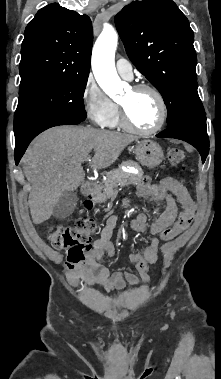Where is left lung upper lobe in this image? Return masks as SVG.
<instances>
[{
  "label": "left lung upper lobe",
  "instance_id": "5c2ea615",
  "mask_svg": "<svg viewBox=\"0 0 221 379\" xmlns=\"http://www.w3.org/2000/svg\"><path fill=\"white\" fill-rule=\"evenodd\" d=\"M115 23L136 68L161 93L167 127L187 125L206 130V114L197 92L194 33L172 0L135 1Z\"/></svg>",
  "mask_w": 221,
  "mask_h": 379
}]
</instances>
